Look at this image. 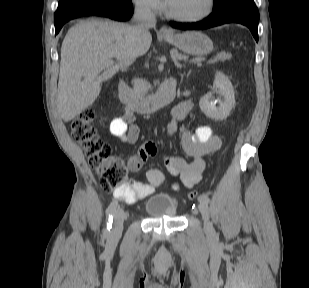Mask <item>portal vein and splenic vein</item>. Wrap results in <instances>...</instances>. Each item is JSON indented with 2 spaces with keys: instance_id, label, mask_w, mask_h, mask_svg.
Returning a JSON list of instances; mask_svg holds the SVG:
<instances>
[{
  "instance_id": "1",
  "label": "portal vein and splenic vein",
  "mask_w": 309,
  "mask_h": 288,
  "mask_svg": "<svg viewBox=\"0 0 309 288\" xmlns=\"http://www.w3.org/2000/svg\"><path fill=\"white\" fill-rule=\"evenodd\" d=\"M204 60H206V58L205 57H201V58L196 59L195 61L197 62V65L200 66L201 62L204 61ZM113 63H114L113 60H108L106 62L107 65H113Z\"/></svg>"
}]
</instances>
